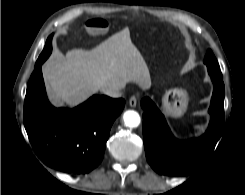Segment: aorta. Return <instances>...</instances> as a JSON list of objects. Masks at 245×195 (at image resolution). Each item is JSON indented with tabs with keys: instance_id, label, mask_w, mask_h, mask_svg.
Listing matches in <instances>:
<instances>
[{
	"instance_id": "762f6f07",
	"label": "aorta",
	"mask_w": 245,
	"mask_h": 195,
	"mask_svg": "<svg viewBox=\"0 0 245 195\" xmlns=\"http://www.w3.org/2000/svg\"><path fill=\"white\" fill-rule=\"evenodd\" d=\"M124 123L130 128H135L140 124V116L136 111L128 110L123 115Z\"/></svg>"
}]
</instances>
